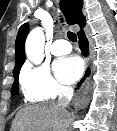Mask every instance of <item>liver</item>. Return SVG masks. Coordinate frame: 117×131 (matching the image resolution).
<instances>
[{"label":"liver","mask_w":117,"mask_h":131,"mask_svg":"<svg viewBox=\"0 0 117 131\" xmlns=\"http://www.w3.org/2000/svg\"><path fill=\"white\" fill-rule=\"evenodd\" d=\"M71 114L55 102L29 105L13 120L11 131H67Z\"/></svg>","instance_id":"1"}]
</instances>
